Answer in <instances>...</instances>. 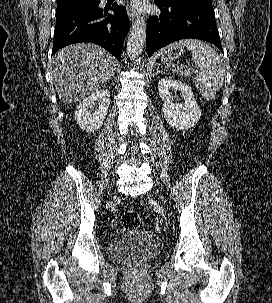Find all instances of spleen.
<instances>
[{
	"label": "spleen",
	"mask_w": 272,
	"mask_h": 303,
	"mask_svg": "<svg viewBox=\"0 0 272 303\" xmlns=\"http://www.w3.org/2000/svg\"><path fill=\"white\" fill-rule=\"evenodd\" d=\"M170 47H187L192 51V60L200 70V74L193 78V82L204 99L213 100L224 81L223 59L210 45L197 39L181 40ZM180 73L183 74V72ZM190 74L187 73V75Z\"/></svg>",
	"instance_id": "spleen-1"
}]
</instances>
